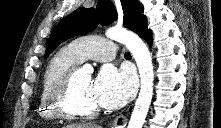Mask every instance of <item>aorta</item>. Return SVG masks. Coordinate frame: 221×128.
Masks as SVG:
<instances>
[{"instance_id": "762f6f07", "label": "aorta", "mask_w": 221, "mask_h": 128, "mask_svg": "<svg viewBox=\"0 0 221 128\" xmlns=\"http://www.w3.org/2000/svg\"><path fill=\"white\" fill-rule=\"evenodd\" d=\"M106 37L124 44L136 61L141 87L127 128H142L153 95L154 74L151 54L142 39L126 29L110 28L106 31ZM83 70L92 72L93 68L90 64H85Z\"/></svg>"}]
</instances>
